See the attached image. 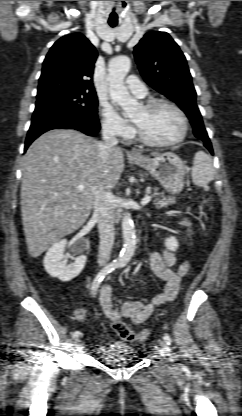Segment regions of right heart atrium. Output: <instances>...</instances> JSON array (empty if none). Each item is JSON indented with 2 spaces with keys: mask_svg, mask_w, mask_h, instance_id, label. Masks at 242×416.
I'll return each mask as SVG.
<instances>
[{
  "mask_svg": "<svg viewBox=\"0 0 242 416\" xmlns=\"http://www.w3.org/2000/svg\"><path fill=\"white\" fill-rule=\"evenodd\" d=\"M101 124L106 133L117 138L128 139L132 135L129 122L122 118L110 105H102Z\"/></svg>",
  "mask_w": 242,
  "mask_h": 416,
  "instance_id": "right-heart-atrium-1",
  "label": "right heart atrium"
}]
</instances>
